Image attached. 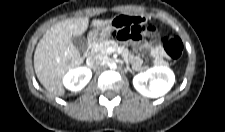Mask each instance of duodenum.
<instances>
[{"instance_id": "obj_1", "label": "duodenum", "mask_w": 225, "mask_h": 132, "mask_svg": "<svg viewBox=\"0 0 225 132\" xmlns=\"http://www.w3.org/2000/svg\"><path fill=\"white\" fill-rule=\"evenodd\" d=\"M95 40L93 38H89L87 41V51L90 53L94 47Z\"/></svg>"}]
</instances>
